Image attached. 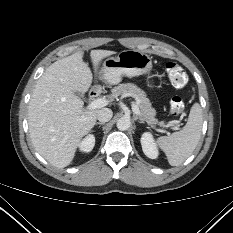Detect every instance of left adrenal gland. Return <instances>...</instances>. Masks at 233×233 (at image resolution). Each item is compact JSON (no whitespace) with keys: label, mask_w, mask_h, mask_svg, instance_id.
<instances>
[{"label":"left adrenal gland","mask_w":233,"mask_h":233,"mask_svg":"<svg viewBox=\"0 0 233 233\" xmlns=\"http://www.w3.org/2000/svg\"><path fill=\"white\" fill-rule=\"evenodd\" d=\"M133 120H134V121H137V120H138V121H140V122L143 123V124L145 123L144 120H143L141 117H138L137 115H133Z\"/></svg>","instance_id":"a2214340"}]
</instances>
